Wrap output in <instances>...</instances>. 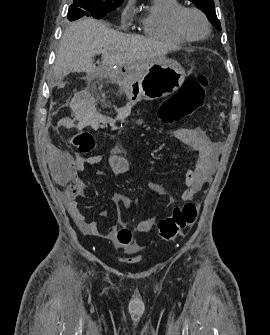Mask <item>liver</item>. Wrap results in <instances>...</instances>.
I'll use <instances>...</instances> for the list:
<instances>
[{
  "label": "liver",
  "instance_id": "6515ba94",
  "mask_svg": "<svg viewBox=\"0 0 270 335\" xmlns=\"http://www.w3.org/2000/svg\"><path fill=\"white\" fill-rule=\"evenodd\" d=\"M167 46L159 42L123 34L106 28L93 18H82L72 22L65 30L57 52L56 74L67 76L68 72H110L113 66L126 68L128 78L137 80L147 68L149 60L160 58ZM102 54V66L96 68L95 56Z\"/></svg>",
  "mask_w": 270,
  "mask_h": 335
}]
</instances>
